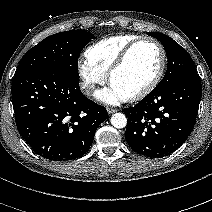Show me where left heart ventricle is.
I'll list each match as a JSON object with an SVG mask.
<instances>
[{
	"mask_svg": "<svg viewBox=\"0 0 212 212\" xmlns=\"http://www.w3.org/2000/svg\"><path fill=\"white\" fill-rule=\"evenodd\" d=\"M159 65L158 49L150 43H142L132 51L125 66L113 76L111 85L130 97L152 80Z\"/></svg>",
	"mask_w": 212,
	"mask_h": 212,
	"instance_id": "b2bd125f",
	"label": "left heart ventricle"
}]
</instances>
